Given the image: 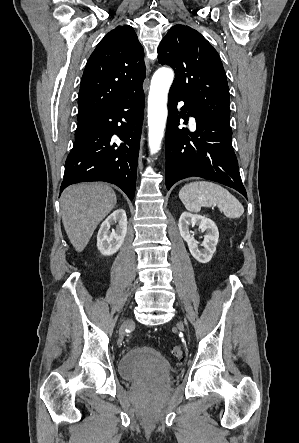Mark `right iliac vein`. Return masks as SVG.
Listing matches in <instances>:
<instances>
[{
  "instance_id": "63e3f726",
  "label": "right iliac vein",
  "mask_w": 299,
  "mask_h": 443,
  "mask_svg": "<svg viewBox=\"0 0 299 443\" xmlns=\"http://www.w3.org/2000/svg\"><path fill=\"white\" fill-rule=\"evenodd\" d=\"M132 324H133V320L132 319H128L126 322H124V324L121 326V328L119 330L120 338H123L125 336L126 328L130 327Z\"/></svg>"
}]
</instances>
